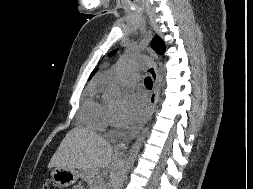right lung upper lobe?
Returning <instances> with one entry per match:
<instances>
[{
    "instance_id": "1",
    "label": "right lung upper lobe",
    "mask_w": 253,
    "mask_h": 189,
    "mask_svg": "<svg viewBox=\"0 0 253 189\" xmlns=\"http://www.w3.org/2000/svg\"><path fill=\"white\" fill-rule=\"evenodd\" d=\"M95 71L91 74L90 78L94 75Z\"/></svg>"
}]
</instances>
